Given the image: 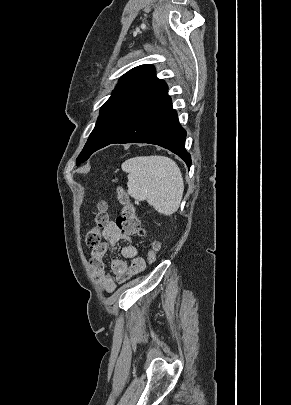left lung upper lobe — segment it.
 Masks as SVG:
<instances>
[{"instance_id":"obj_1","label":"left lung upper lobe","mask_w":291,"mask_h":405,"mask_svg":"<svg viewBox=\"0 0 291 405\" xmlns=\"http://www.w3.org/2000/svg\"><path fill=\"white\" fill-rule=\"evenodd\" d=\"M159 81L151 65H141L125 73L100 114L87 143L77 158V164L87 160L96 150L111 144L129 125L146 93Z\"/></svg>"}]
</instances>
